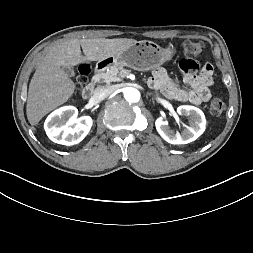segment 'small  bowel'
Instances as JSON below:
<instances>
[{
	"mask_svg": "<svg viewBox=\"0 0 253 253\" xmlns=\"http://www.w3.org/2000/svg\"><path fill=\"white\" fill-rule=\"evenodd\" d=\"M177 71L184 78L188 88L178 86L164 68H157L153 71L149 79V86L161 92L166 98L178 102L198 105L210 100L209 88L213 84L212 73L214 71L211 62L202 63L198 57L185 58L178 64Z\"/></svg>",
	"mask_w": 253,
	"mask_h": 253,
	"instance_id": "small-bowel-1",
	"label": "small bowel"
}]
</instances>
